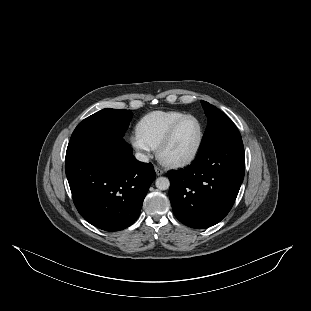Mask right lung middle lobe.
<instances>
[{
	"label": "right lung middle lobe",
	"mask_w": 311,
	"mask_h": 311,
	"mask_svg": "<svg viewBox=\"0 0 311 311\" xmlns=\"http://www.w3.org/2000/svg\"><path fill=\"white\" fill-rule=\"evenodd\" d=\"M132 116L131 110H100L80 122L71 137L93 130H106L124 136Z\"/></svg>",
	"instance_id": "1"
}]
</instances>
